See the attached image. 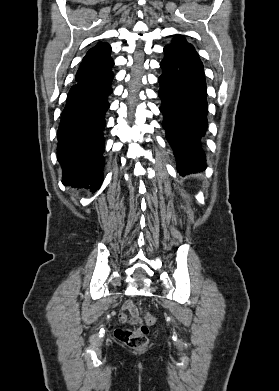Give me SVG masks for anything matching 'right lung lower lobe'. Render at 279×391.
I'll return each instance as SVG.
<instances>
[{
	"instance_id": "right-lung-lower-lobe-1",
	"label": "right lung lower lobe",
	"mask_w": 279,
	"mask_h": 391,
	"mask_svg": "<svg viewBox=\"0 0 279 391\" xmlns=\"http://www.w3.org/2000/svg\"><path fill=\"white\" fill-rule=\"evenodd\" d=\"M113 72L71 87L58 128L62 183L97 190L103 181L105 113Z\"/></svg>"
}]
</instances>
